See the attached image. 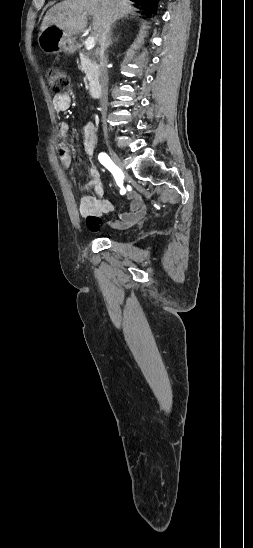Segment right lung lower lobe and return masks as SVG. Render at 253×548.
I'll return each mask as SVG.
<instances>
[{"instance_id":"1","label":"right lung lower lobe","mask_w":253,"mask_h":548,"mask_svg":"<svg viewBox=\"0 0 253 548\" xmlns=\"http://www.w3.org/2000/svg\"><path fill=\"white\" fill-rule=\"evenodd\" d=\"M142 4L146 9H154L157 6L158 0H131Z\"/></svg>"}]
</instances>
